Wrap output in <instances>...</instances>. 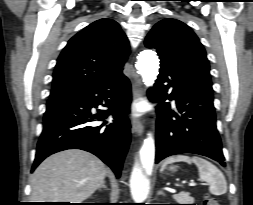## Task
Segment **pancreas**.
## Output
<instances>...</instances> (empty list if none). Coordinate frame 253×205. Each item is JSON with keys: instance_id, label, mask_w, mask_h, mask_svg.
<instances>
[{"instance_id": "pancreas-1", "label": "pancreas", "mask_w": 253, "mask_h": 205, "mask_svg": "<svg viewBox=\"0 0 253 205\" xmlns=\"http://www.w3.org/2000/svg\"><path fill=\"white\" fill-rule=\"evenodd\" d=\"M173 198L180 204H190L194 201V198L190 197L188 192H180L173 195Z\"/></svg>"}]
</instances>
